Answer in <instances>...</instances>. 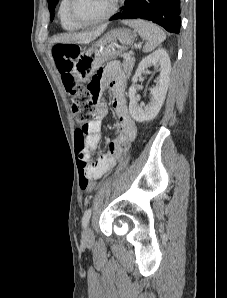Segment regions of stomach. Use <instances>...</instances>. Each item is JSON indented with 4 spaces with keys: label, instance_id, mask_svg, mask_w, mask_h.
I'll return each mask as SVG.
<instances>
[{
    "label": "stomach",
    "instance_id": "0dacf381",
    "mask_svg": "<svg viewBox=\"0 0 227 298\" xmlns=\"http://www.w3.org/2000/svg\"><path fill=\"white\" fill-rule=\"evenodd\" d=\"M135 33L126 28L109 31L91 47L84 49L73 63V75L79 82H87L101 63L125 52L135 41Z\"/></svg>",
    "mask_w": 227,
    "mask_h": 298
}]
</instances>
